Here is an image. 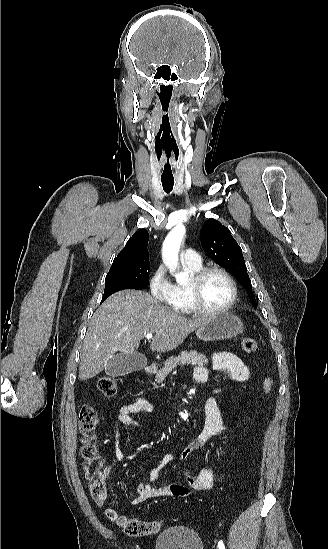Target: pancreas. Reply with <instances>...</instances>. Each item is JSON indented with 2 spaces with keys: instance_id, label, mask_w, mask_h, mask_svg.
Listing matches in <instances>:
<instances>
[{
  "instance_id": "obj_1",
  "label": "pancreas",
  "mask_w": 328,
  "mask_h": 549,
  "mask_svg": "<svg viewBox=\"0 0 328 549\" xmlns=\"http://www.w3.org/2000/svg\"><path fill=\"white\" fill-rule=\"evenodd\" d=\"M177 365H199V367H202V365H208V359H206L205 355H202V353H197V351H190V353L182 351V353H179L178 357H169V359L165 361L164 367L159 369L158 373H156L155 381H157V383H163L165 377H167Z\"/></svg>"
}]
</instances>
